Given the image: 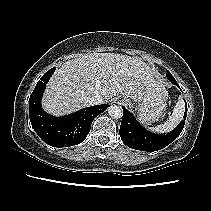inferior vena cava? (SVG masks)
Returning <instances> with one entry per match:
<instances>
[{"label": "inferior vena cava", "instance_id": "1", "mask_svg": "<svg viewBox=\"0 0 211 211\" xmlns=\"http://www.w3.org/2000/svg\"><path fill=\"white\" fill-rule=\"evenodd\" d=\"M86 101L89 105H99L103 103L101 95L96 94L86 98Z\"/></svg>", "mask_w": 211, "mask_h": 211}]
</instances>
